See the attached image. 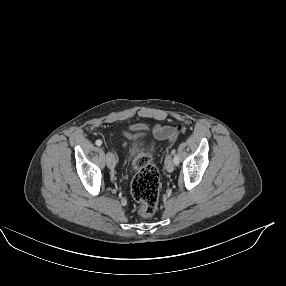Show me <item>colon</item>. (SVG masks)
<instances>
[{
  "instance_id": "5ec220e1",
  "label": "colon",
  "mask_w": 286,
  "mask_h": 286,
  "mask_svg": "<svg viewBox=\"0 0 286 286\" xmlns=\"http://www.w3.org/2000/svg\"><path fill=\"white\" fill-rule=\"evenodd\" d=\"M131 183V193L138 202V214L143 218L154 215L158 207L160 175L157 168L143 158Z\"/></svg>"
}]
</instances>
